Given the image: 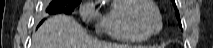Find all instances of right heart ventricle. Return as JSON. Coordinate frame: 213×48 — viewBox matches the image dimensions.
I'll return each instance as SVG.
<instances>
[{
    "instance_id": "right-heart-ventricle-1",
    "label": "right heart ventricle",
    "mask_w": 213,
    "mask_h": 48,
    "mask_svg": "<svg viewBox=\"0 0 213 48\" xmlns=\"http://www.w3.org/2000/svg\"><path fill=\"white\" fill-rule=\"evenodd\" d=\"M131 0H115L100 16L99 30L112 39L136 43L143 42L146 38L137 35L125 19V9Z\"/></svg>"
}]
</instances>
